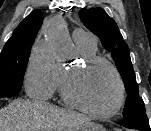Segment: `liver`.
<instances>
[{
	"label": "liver",
	"mask_w": 151,
	"mask_h": 131,
	"mask_svg": "<svg viewBox=\"0 0 151 131\" xmlns=\"http://www.w3.org/2000/svg\"><path fill=\"white\" fill-rule=\"evenodd\" d=\"M88 122L82 114L43 101L14 100L0 109V131H76Z\"/></svg>",
	"instance_id": "1"
}]
</instances>
